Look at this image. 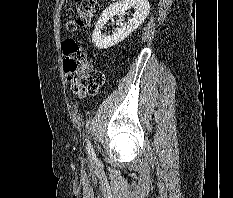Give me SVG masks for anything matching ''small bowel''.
Wrapping results in <instances>:
<instances>
[{"label": "small bowel", "mask_w": 233, "mask_h": 198, "mask_svg": "<svg viewBox=\"0 0 233 198\" xmlns=\"http://www.w3.org/2000/svg\"><path fill=\"white\" fill-rule=\"evenodd\" d=\"M78 96H79V97H83V94H82V93H78Z\"/></svg>", "instance_id": "small-bowel-1"}]
</instances>
